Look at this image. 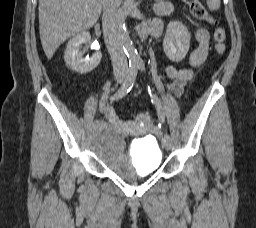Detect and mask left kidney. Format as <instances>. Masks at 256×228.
Masks as SVG:
<instances>
[{
	"label": "left kidney",
	"mask_w": 256,
	"mask_h": 228,
	"mask_svg": "<svg viewBox=\"0 0 256 228\" xmlns=\"http://www.w3.org/2000/svg\"><path fill=\"white\" fill-rule=\"evenodd\" d=\"M190 33L181 22L169 23L163 40L166 56L173 62L182 61L189 51Z\"/></svg>",
	"instance_id": "obj_1"
}]
</instances>
